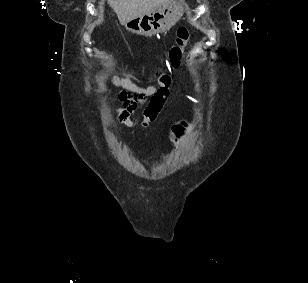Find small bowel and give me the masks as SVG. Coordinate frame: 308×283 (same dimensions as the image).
<instances>
[{
    "mask_svg": "<svg viewBox=\"0 0 308 283\" xmlns=\"http://www.w3.org/2000/svg\"><path fill=\"white\" fill-rule=\"evenodd\" d=\"M111 83L121 91L115 96L114 112L120 123L128 128H135L134 117L143 108L141 125L147 127L154 122L170 94V85L158 82L153 85L140 86L129 77L117 73L111 76Z\"/></svg>",
    "mask_w": 308,
    "mask_h": 283,
    "instance_id": "c3829d8e",
    "label": "small bowel"
}]
</instances>
